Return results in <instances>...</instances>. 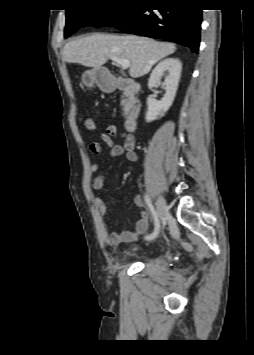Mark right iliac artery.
I'll return each instance as SVG.
<instances>
[{"label":"right iliac artery","mask_w":254,"mask_h":355,"mask_svg":"<svg viewBox=\"0 0 254 355\" xmlns=\"http://www.w3.org/2000/svg\"><path fill=\"white\" fill-rule=\"evenodd\" d=\"M145 202H146V204H147V206H148V208H149V210L151 212V215H152V217H153V219L155 221V228H154L153 233L148 235V236H146L145 239L146 240H152V239H154L157 236V234L159 232V229H160V224H159V221H158L157 213H156V211L154 209V206L152 205L151 200L149 199L148 196H145Z\"/></svg>","instance_id":"82829eb1"}]
</instances>
